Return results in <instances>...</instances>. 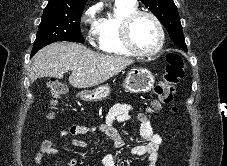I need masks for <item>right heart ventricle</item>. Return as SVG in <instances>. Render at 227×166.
I'll use <instances>...</instances> for the list:
<instances>
[{
	"label": "right heart ventricle",
	"instance_id": "right-heart-ventricle-1",
	"mask_svg": "<svg viewBox=\"0 0 227 166\" xmlns=\"http://www.w3.org/2000/svg\"><path fill=\"white\" fill-rule=\"evenodd\" d=\"M135 11V3L115 0L112 13L99 19L95 25L96 45L100 51L114 55H131L122 43L120 29L126 16Z\"/></svg>",
	"mask_w": 227,
	"mask_h": 166
}]
</instances>
